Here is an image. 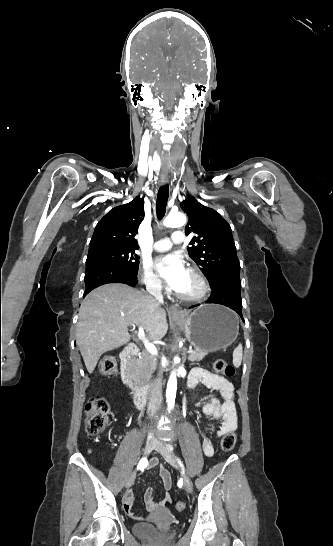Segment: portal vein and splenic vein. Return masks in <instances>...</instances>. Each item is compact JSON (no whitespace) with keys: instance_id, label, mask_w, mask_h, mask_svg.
<instances>
[{"instance_id":"18ae733b","label":"portal vein and splenic vein","mask_w":333,"mask_h":546,"mask_svg":"<svg viewBox=\"0 0 333 546\" xmlns=\"http://www.w3.org/2000/svg\"><path fill=\"white\" fill-rule=\"evenodd\" d=\"M137 336H138V338L143 342V344H144L146 350H147L151 355H153V356H157V355H158V351H157L156 347L146 339L145 333H144V329H143L142 327H139V331H138V333H137ZM192 352H193L192 349H190V350L188 351V353H192Z\"/></svg>"}]
</instances>
